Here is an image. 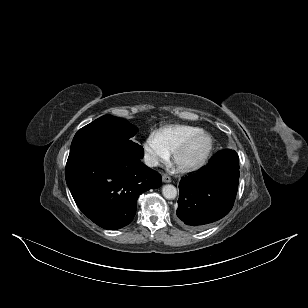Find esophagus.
<instances>
[{
    "instance_id": "esophagus-1",
    "label": "esophagus",
    "mask_w": 308,
    "mask_h": 308,
    "mask_svg": "<svg viewBox=\"0 0 308 308\" xmlns=\"http://www.w3.org/2000/svg\"><path fill=\"white\" fill-rule=\"evenodd\" d=\"M162 181H163L164 183H170V182H171V177L168 176V175H166V174H164V175L162 176Z\"/></svg>"
}]
</instances>
